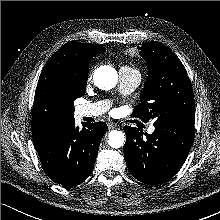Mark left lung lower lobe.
<instances>
[{
    "label": "left lung lower lobe",
    "instance_id": "1",
    "mask_svg": "<svg viewBox=\"0 0 220 220\" xmlns=\"http://www.w3.org/2000/svg\"><path fill=\"white\" fill-rule=\"evenodd\" d=\"M152 134L125 126L124 156L139 181L158 185L171 179L184 164L194 139V125L170 120L154 125Z\"/></svg>",
    "mask_w": 220,
    "mask_h": 220
}]
</instances>
